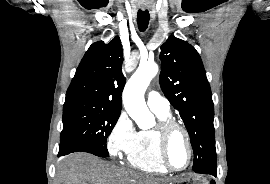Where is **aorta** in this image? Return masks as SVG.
<instances>
[{
  "mask_svg": "<svg viewBox=\"0 0 270 184\" xmlns=\"http://www.w3.org/2000/svg\"><path fill=\"white\" fill-rule=\"evenodd\" d=\"M157 73L158 65L156 63L140 64L123 91L125 110L141 129H149L155 123L154 115L145 103L144 93Z\"/></svg>",
  "mask_w": 270,
  "mask_h": 184,
  "instance_id": "762f6f07",
  "label": "aorta"
}]
</instances>
